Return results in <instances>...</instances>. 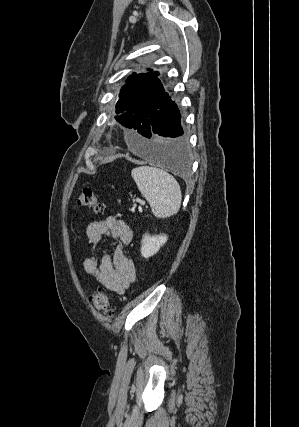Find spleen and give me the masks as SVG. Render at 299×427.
Segmentation results:
<instances>
[{
	"mask_svg": "<svg viewBox=\"0 0 299 427\" xmlns=\"http://www.w3.org/2000/svg\"><path fill=\"white\" fill-rule=\"evenodd\" d=\"M131 176L155 217L167 218L179 211L181 189L168 172L157 167L140 166L132 170Z\"/></svg>",
	"mask_w": 299,
	"mask_h": 427,
	"instance_id": "1",
	"label": "spleen"
}]
</instances>
